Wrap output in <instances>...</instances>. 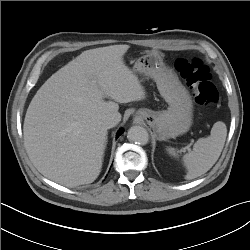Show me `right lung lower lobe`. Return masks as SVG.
<instances>
[{
  "instance_id": "obj_1",
  "label": "right lung lower lobe",
  "mask_w": 250,
  "mask_h": 250,
  "mask_svg": "<svg viewBox=\"0 0 250 250\" xmlns=\"http://www.w3.org/2000/svg\"><path fill=\"white\" fill-rule=\"evenodd\" d=\"M123 133V129H120L117 133V138Z\"/></svg>"
}]
</instances>
